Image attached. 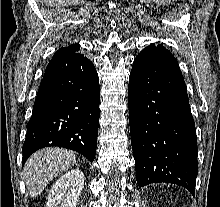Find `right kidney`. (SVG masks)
Returning a JSON list of instances; mask_svg holds the SVG:
<instances>
[{
    "instance_id": "obj_1",
    "label": "right kidney",
    "mask_w": 220,
    "mask_h": 207,
    "mask_svg": "<svg viewBox=\"0 0 220 207\" xmlns=\"http://www.w3.org/2000/svg\"><path fill=\"white\" fill-rule=\"evenodd\" d=\"M84 181V173L79 169L63 174L49 191L47 207H76Z\"/></svg>"
}]
</instances>
